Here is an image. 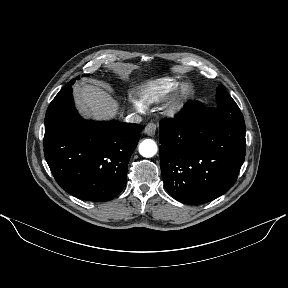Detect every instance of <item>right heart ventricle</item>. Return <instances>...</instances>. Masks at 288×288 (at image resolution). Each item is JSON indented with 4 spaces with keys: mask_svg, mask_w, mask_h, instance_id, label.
Returning <instances> with one entry per match:
<instances>
[{
    "mask_svg": "<svg viewBox=\"0 0 288 288\" xmlns=\"http://www.w3.org/2000/svg\"><path fill=\"white\" fill-rule=\"evenodd\" d=\"M176 81L172 78H163L151 81L140 89V101L149 105L164 100L175 88Z\"/></svg>",
    "mask_w": 288,
    "mask_h": 288,
    "instance_id": "e07e8e85",
    "label": "right heart ventricle"
}]
</instances>
